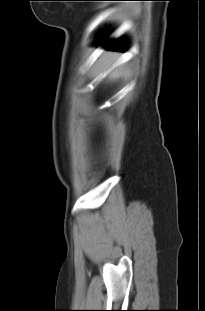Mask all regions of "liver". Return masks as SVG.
Wrapping results in <instances>:
<instances>
[{"mask_svg":"<svg viewBox=\"0 0 205 311\" xmlns=\"http://www.w3.org/2000/svg\"><path fill=\"white\" fill-rule=\"evenodd\" d=\"M116 57L114 55H109L107 58L104 59L103 67L104 69H108L115 61ZM118 75V71H113L111 73V77L114 78Z\"/></svg>","mask_w":205,"mask_h":311,"instance_id":"obj_1","label":"liver"}]
</instances>
